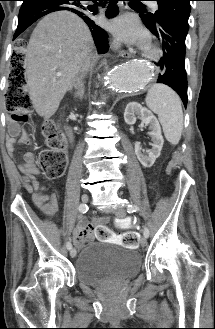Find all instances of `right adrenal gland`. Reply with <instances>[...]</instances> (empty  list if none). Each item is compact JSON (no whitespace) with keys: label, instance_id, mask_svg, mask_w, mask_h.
<instances>
[{"label":"right adrenal gland","instance_id":"obj_1","mask_svg":"<svg viewBox=\"0 0 215 329\" xmlns=\"http://www.w3.org/2000/svg\"><path fill=\"white\" fill-rule=\"evenodd\" d=\"M74 96H75V98H80L81 100L83 99V96H84V86L83 85L80 89L75 91Z\"/></svg>","mask_w":215,"mask_h":329}]
</instances>
